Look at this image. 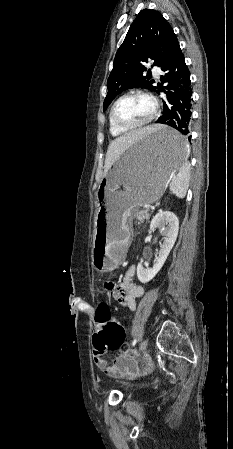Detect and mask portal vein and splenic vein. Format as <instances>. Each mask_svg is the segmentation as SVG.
<instances>
[{"instance_id": "1", "label": "portal vein and splenic vein", "mask_w": 233, "mask_h": 449, "mask_svg": "<svg viewBox=\"0 0 233 449\" xmlns=\"http://www.w3.org/2000/svg\"><path fill=\"white\" fill-rule=\"evenodd\" d=\"M146 212H148L149 211V209H147V210H145Z\"/></svg>"}]
</instances>
